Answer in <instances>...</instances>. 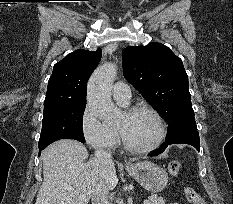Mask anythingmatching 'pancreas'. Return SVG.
Here are the masks:
<instances>
[{"label":"pancreas","mask_w":233,"mask_h":204,"mask_svg":"<svg viewBox=\"0 0 233 204\" xmlns=\"http://www.w3.org/2000/svg\"><path fill=\"white\" fill-rule=\"evenodd\" d=\"M150 201V204H165V200L156 194L151 195Z\"/></svg>","instance_id":"cf45deb5"}]
</instances>
